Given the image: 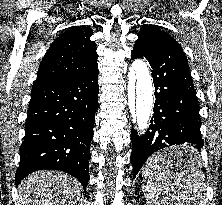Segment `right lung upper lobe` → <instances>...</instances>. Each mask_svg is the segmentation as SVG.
I'll use <instances>...</instances> for the list:
<instances>
[{
	"mask_svg": "<svg viewBox=\"0 0 222 205\" xmlns=\"http://www.w3.org/2000/svg\"><path fill=\"white\" fill-rule=\"evenodd\" d=\"M89 27L73 26L51 44L41 61L34 84L71 78L97 67L96 44Z\"/></svg>",
	"mask_w": 222,
	"mask_h": 205,
	"instance_id": "1",
	"label": "right lung upper lobe"
}]
</instances>
